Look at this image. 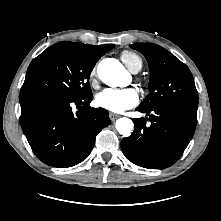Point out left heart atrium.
I'll use <instances>...</instances> for the list:
<instances>
[{
	"label": "left heart atrium",
	"instance_id": "left-heart-atrium-1",
	"mask_svg": "<svg viewBox=\"0 0 221 221\" xmlns=\"http://www.w3.org/2000/svg\"><path fill=\"white\" fill-rule=\"evenodd\" d=\"M138 101L139 95L134 88L105 89L96 97V103L99 107L114 113H121L130 109Z\"/></svg>",
	"mask_w": 221,
	"mask_h": 221
}]
</instances>
